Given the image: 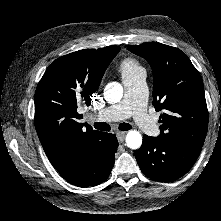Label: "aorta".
Listing matches in <instances>:
<instances>
[{
  "instance_id": "1",
  "label": "aorta",
  "mask_w": 221,
  "mask_h": 221,
  "mask_svg": "<svg viewBox=\"0 0 221 221\" xmlns=\"http://www.w3.org/2000/svg\"><path fill=\"white\" fill-rule=\"evenodd\" d=\"M123 97V87L118 82H110L104 88V98L108 103H117ZM126 144L130 149H139L142 135L137 130H130L126 135Z\"/></svg>"
}]
</instances>
